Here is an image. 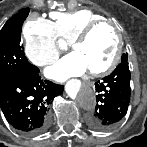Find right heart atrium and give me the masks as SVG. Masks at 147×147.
<instances>
[{"instance_id": "right-heart-atrium-1", "label": "right heart atrium", "mask_w": 147, "mask_h": 147, "mask_svg": "<svg viewBox=\"0 0 147 147\" xmlns=\"http://www.w3.org/2000/svg\"><path fill=\"white\" fill-rule=\"evenodd\" d=\"M25 54L31 63L44 67L59 55L53 23L42 17L32 16L23 27Z\"/></svg>"}]
</instances>
